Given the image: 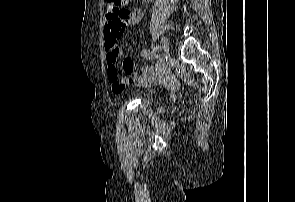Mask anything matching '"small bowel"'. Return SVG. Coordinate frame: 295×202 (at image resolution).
Wrapping results in <instances>:
<instances>
[{"mask_svg":"<svg viewBox=\"0 0 295 202\" xmlns=\"http://www.w3.org/2000/svg\"><path fill=\"white\" fill-rule=\"evenodd\" d=\"M128 17L124 21L111 18L107 15L105 24V51L107 72L112 90L116 94L122 93L125 86L137 83L145 88L167 82V86H173V90H180L182 81H171L172 74L164 62L158 60L155 64L143 68L140 74L135 72V63L131 59H120V64H124V75H130L129 78L119 77L116 66L117 60L122 55V50L117 46L116 40L124 29V24L136 25L140 23L143 17V11L140 8H131L128 11ZM142 56L145 59H157L155 52L143 50ZM118 85V86H117ZM175 98H180V93H175Z\"/></svg>","mask_w":295,"mask_h":202,"instance_id":"c3829d8e","label":"small bowel"}]
</instances>
